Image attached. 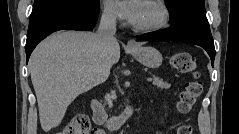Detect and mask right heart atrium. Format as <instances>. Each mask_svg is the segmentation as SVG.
<instances>
[{
    "instance_id": "obj_1",
    "label": "right heart atrium",
    "mask_w": 239,
    "mask_h": 134,
    "mask_svg": "<svg viewBox=\"0 0 239 134\" xmlns=\"http://www.w3.org/2000/svg\"><path fill=\"white\" fill-rule=\"evenodd\" d=\"M104 18L107 21L114 22L117 19V13L115 11V8L113 7L112 3L109 1H106L104 3Z\"/></svg>"
}]
</instances>
